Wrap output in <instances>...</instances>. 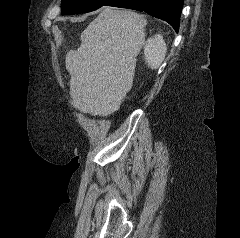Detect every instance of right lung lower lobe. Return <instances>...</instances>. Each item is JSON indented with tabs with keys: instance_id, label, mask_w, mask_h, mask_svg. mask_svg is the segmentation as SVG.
<instances>
[{
	"instance_id": "obj_1",
	"label": "right lung lower lobe",
	"mask_w": 240,
	"mask_h": 238,
	"mask_svg": "<svg viewBox=\"0 0 240 238\" xmlns=\"http://www.w3.org/2000/svg\"><path fill=\"white\" fill-rule=\"evenodd\" d=\"M184 0H112L107 6L128 8L162 19L179 31Z\"/></svg>"
}]
</instances>
